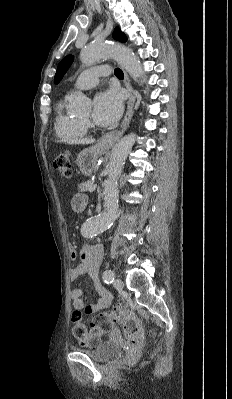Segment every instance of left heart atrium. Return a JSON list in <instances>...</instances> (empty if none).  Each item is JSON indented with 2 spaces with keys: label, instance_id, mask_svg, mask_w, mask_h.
I'll return each mask as SVG.
<instances>
[{
  "label": "left heart atrium",
  "instance_id": "39dd6f15",
  "mask_svg": "<svg viewBox=\"0 0 232 399\" xmlns=\"http://www.w3.org/2000/svg\"><path fill=\"white\" fill-rule=\"evenodd\" d=\"M123 111L122 96L118 90H108L99 94L94 101L93 121L101 126L113 125Z\"/></svg>",
  "mask_w": 232,
  "mask_h": 399
}]
</instances>
